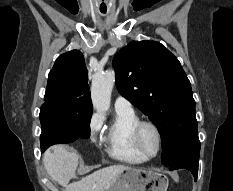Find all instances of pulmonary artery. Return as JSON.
Masks as SVG:
<instances>
[{
  "instance_id": "1",
  "label": "pulmonary artery",
  "mask_w": 233,
  "mask_h": 191,
  "mask_svg": "<svg viewBox=\"0 0 233 191\" xmlns=\"http://www.w3.org/2000/svg\"><path fill=\"white\" fill-rule=\"evenodd\" d=\"M114 106L116 111H133L131 103L122 96L116 97Z\"/></svg>"
}]
</instances>
